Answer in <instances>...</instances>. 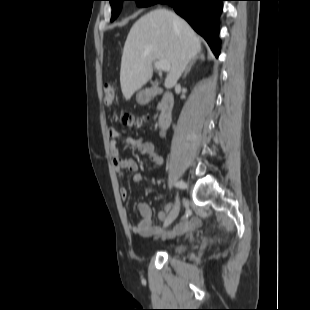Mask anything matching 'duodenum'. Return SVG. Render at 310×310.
Returning a JSON list of instances; mask_svg holds the SVG:
<instances>
[{"instance_id": "obj_1", "label": "duodenum", "mask_w": 310, "mask_h": 310, "mask_svg": "<svg viewBox=\"0 0 310 310\" xmlns=\"http://www.w3.org/2000/svg\"><path fill=\"white\" fill-rule=\"evenodd\" d=\"M146 99H148V97H146ZM173 105L174 100L172 94L169 92L161 93L157 125V130L160 135H163L171 124Z\"/></svg>"}]
</instances>
